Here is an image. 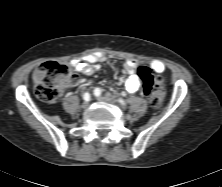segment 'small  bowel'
I'll return each mask as SVG.
<instances>
[{
	"instance_id": "small-bowel-1",
	"label": "small bowel",
	"mask_w": 222,
	"mask_h": 187,
	"mask_svg": "<svg viewBox=\"0 0 222 187\" xmlns=\"http://www.w3.org/2000/svg\"><path fill=\"white\" fill-rule=\"evenodd\" d=\"M106 60V55L101 53L91 54L84 59L72 61L73 67L84 75H92L98 67V63ZM139 63L136 60H126L124 63L126 71L129 73L125 80V88L128 93H135L140 87V80L136 73ZM147 67L155 73H163L165 65L161 61H151ZM78 83L84 84V79H79Z\"/></svg>"
}]
</instances>
